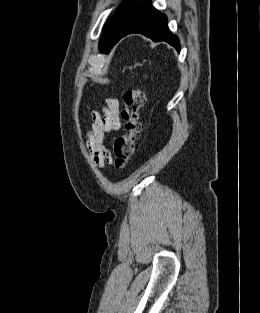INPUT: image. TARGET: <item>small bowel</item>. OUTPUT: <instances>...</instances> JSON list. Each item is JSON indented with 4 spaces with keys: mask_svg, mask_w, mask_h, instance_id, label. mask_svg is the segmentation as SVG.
I'll return each mask as SVG.
<instances>
[{
    "mask_svg": "<svg viewBox=\"0 0 260 313\" xmlns=\"http://www.w3.org/2000/svg\"><path fill=\"white\" fill-rule=\"evenodd\" d=\"M121 127L120 102L117 98L106 99L101 112L91 113V127L87 131V146L91 158L98 168L112 163V155L105 146V136L117 132Z\"/></svg>",
    "mask_w": 260,
    "mask_h": 313,
    "instance_id": "1",
    "label": "small bowel"
}]
</instances>
